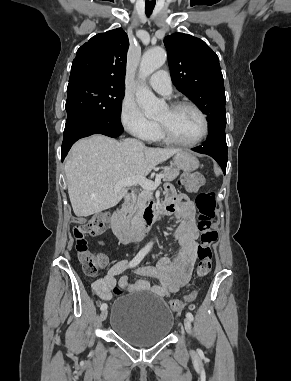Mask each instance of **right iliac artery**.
Returning a JSON list of instances; mask_svg holds the SVG:
<instances>
[{"label":"right iliac artery","instance_id":"1","mask_svg":"<svg viewBox=\"0 0 291 381\" xmlns=\"http://www.w3.org/2000/svg\"><path fill=\"white\" fill-rule=\"evenodd\" d=\"M147 252L148 251L146 249L140 250L139 253L130 261L129 267H135L136 265H138L142 261L144 256L147 254ZM106 308H107L106 303H103L100 307L101 310H105Z\"/></svg>","mask_w":291,"mask_h":381}]
</instances>
